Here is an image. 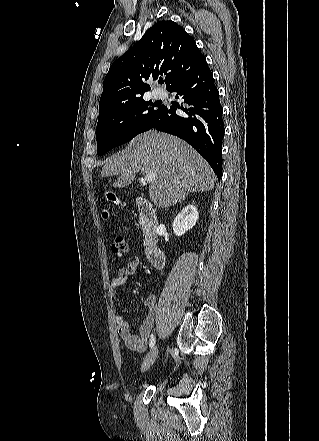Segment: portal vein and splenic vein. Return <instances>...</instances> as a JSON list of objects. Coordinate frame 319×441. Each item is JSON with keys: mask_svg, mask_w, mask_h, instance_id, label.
Segmentation results:
<instances>
[{"mask_svg": "<svg viewBox=\"0 0 319 441\" xmlns=\"http://www.w3.org/2000/svg\"><path fill=\"white\" fill-rule=\"evenodd\" d=\"M156 173L155 172H147L145 175H144V180L146 181V182H148V183H152V182H154L155 180H156Z\"/></svg>", "mask_w": 319, "mask_h": 441, "instance_id": "obj_1", "label": "portal vein and splenic vein"}]
</instances>
